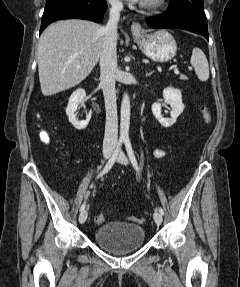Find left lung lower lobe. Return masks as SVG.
Listing matches in <instances>:
<instances>
[{
  "label": "left lung lower lobe",
  "mask_w": 240,
  "mask_h": 287,
  "mask_svg": "<svg viewBox=\"0 0 240 287\" xmlns=\"http://www.w3.org/2000/svg\"><path fill=\"white\" fill-rule=\"evenodd\" d=\"M146 23L152 28L188 30L209 40L203 0H172L164 13L146 18Z\"/></svg>",
  "instance_id": "1"
}]
</instances>
